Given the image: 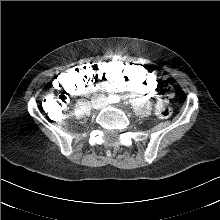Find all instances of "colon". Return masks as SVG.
Returning a JSON list of instances; mask_svg holds the SVG:
<instances>
[{
	"label": "colon",
	"instance_id": "colon-1",
	"mask_svg": "<svg viewBox=\"0 0 220 220\" xmlns=\"http://www.w3.org/2000/svg\"><path fill=\"white\" fill-rule=\"evenodd\" d=\"M108 81L125 82L148 91L156 90L160 84V75L156 69L133 61L122 62L117 59L108 62L88 63L75 69L65 71L59 79L52 82L43 102L47 113L55 114L63 110L66 99L71 93L85 89L91 82ZM174 94L169 84L158 88L155 109L159 116L168 117L171 105L168 100Z\"/></svg>",
	"mask_w": 220,
	"mask_h": 220
}]
</instances>
